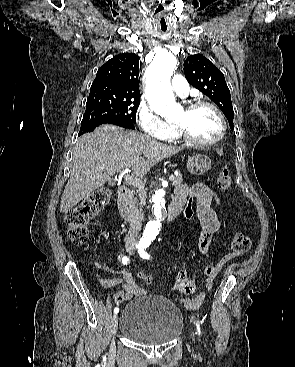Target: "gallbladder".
<instances>
[{
    "label": "gallbladder",
    "mask_w": 295,
    "mask_h": 367,
    "mask_svg": "<svg viewBox=\"0 0 295 367\" xmlns=\"http://www.w3.org/2000/svg\"><path fill=\"white\" fill-rule=\"evenodd\" d=\"M110 184H113V182H112V181H110Z\"/></svg>",
    "instance_id": "bac80fb5"
}]
</instances>
